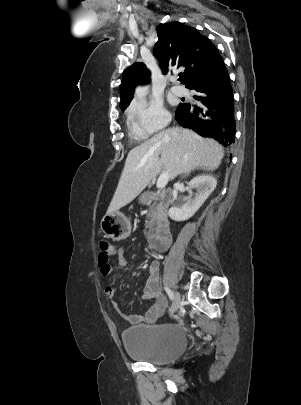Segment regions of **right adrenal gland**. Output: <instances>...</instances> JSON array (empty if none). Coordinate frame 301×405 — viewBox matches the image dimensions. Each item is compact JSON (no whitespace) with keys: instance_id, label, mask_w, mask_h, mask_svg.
Here are the masks:
<instances>
[{"instance_id":"1","label":"right adrenal gland","mask_w":301,"mask_h":405,"mask_svg":"<svg viewBox=\"0 0 301 405\" xmlns=\"http://www.w3.org/2000/svg\"><path fill=\"white\" fill-rule=\"evenodd\" d=\"M189 175V173H186L185 175H183V177H186V176H188Z\"/></svg>"}]
</instances>
